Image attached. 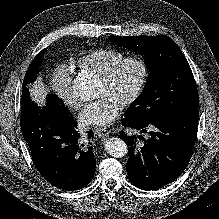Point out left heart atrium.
I'll list each match as a JSON object with an SVG mask.
<instances>
[{
  "instance_id": "39dd6f15",
  "label": "left heart atrium",
  "mask_w": 219,
  "mask_h": 219,
  "mask_svg": "<svg viewBox=\"0 0 219 219\" xmlns=\"http://www.w3.org/2000/svg\"><path fill=\"white\" fill-rule=\"evenodd\" d=\"M122 105L113 97L105 95L87 105L79 115L81 125L86 127H105L120 115Z\"/></svg>"
}]
</instances>
